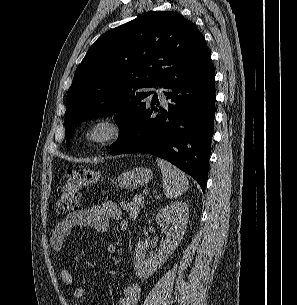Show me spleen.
I'll use <instances>...</instances> for the list:
<instances>
[{
    "label": "spleen",
    "instance_id": "obj_1",
    "mask_svg": "<svg viewBox=\"0 0 297 305\" xmlns=\"http://www.w3.org/2000/svg\"><path fill=\"white\" fill-rule=\"evenodd\" d=\"M156 162L161 169L162 182L166 198H177L189 187L186 175L171 163L157 158Z\"/></svg>",
    "mask_w": 297,
    "mask_h": 305
}]
</instances>
